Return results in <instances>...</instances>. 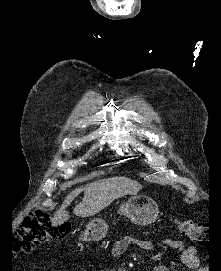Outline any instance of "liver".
Wrapping results in <instances>:
<instances>
[{
  "mask_svg": "<svg viewBox=\"0 0 221 271\" xmlns=\"http://www.w3.org/2000/svg\"><path fill=\"white\" fill-rule=\"evenodd\" d=\"M120 177H112V179H99V181H93L89 185H84V187H79V189H74L72 193L67 195L62 207L56 211L54 217H52V225H61L66 219H68V211L66 207L69 201L74 199L77 193L80 191H85L84 197L79 203L74 207V213L76 215H81V217H89V215H95L99 213L101 209L107 207L112 203L113 199L121 197L123 193L116 191L118 187V181Z\"/></svg>",
  "mask_w": 221,
  "mask_h": 271,
  "instance_id": "obj_1",
  "label": "liver"
}]
</instances>
